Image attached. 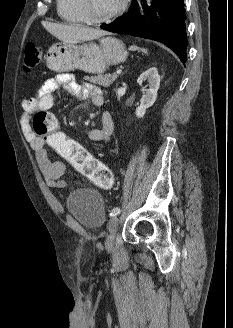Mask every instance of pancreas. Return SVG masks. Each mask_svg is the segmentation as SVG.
Returning a JSON list of instances; mask_svg holds the SVG:
<instances>
[{
	"label": "pancreas",
	"instance_id": "obj_1",
	"mask_svg": "<svg viewBox=\"0 0 233 328\" xmlns=\"http://www.w3.org/2000/svg\"><path fill=\"white\" fill-rule=\"evenodd\" d=\"M118 75L116 74H98L96 76H84V80H87L89 82H92L94 84L103 86V87H109L116 79Z\"/></svg>",
	"mask_w": 233,
	"mask_h": 328
}]
</instances>
